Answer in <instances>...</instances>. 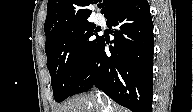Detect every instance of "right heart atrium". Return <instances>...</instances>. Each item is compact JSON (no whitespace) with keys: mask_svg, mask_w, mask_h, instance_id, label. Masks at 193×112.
<instances>
[{"mask_svg":"<svg viewBox=\"0 0 193 112\" xmlns=\"http://www.w3.org/2000/svg\"><path fill=\"white\" fill-rule=\"evenodd\" d=\"M78 61H79V63H81V61H82L81 57L78 58Z\"/></svg>","mask_w":193,"mask_h":112,"instance_id":"1","label":"right heart atrium"}]
</instances>
